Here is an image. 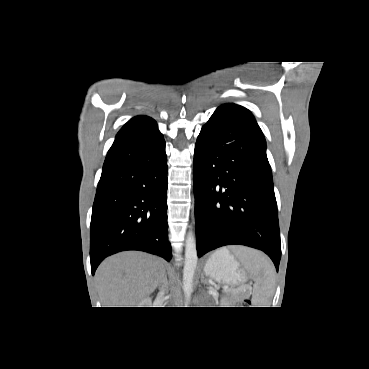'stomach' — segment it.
Masks as SVG:
<instances>
[{
  "label": "stomach",
  "instance_id": "0dacf381",
  "mask_svg": "<svg viewBox=\"0 0 369 369\" xmlns=\"http://www.w3.org/2000/svg\"><path fill=\"white\" fill-rule=\"evenodd\" d=\"M204 272L216 281L226 284H239L246 279L239 263L226 248L212 254L204 266Z\"/></svg>",
  "mask_w": 369,
  "mask_h": 369
}]
</instances>
